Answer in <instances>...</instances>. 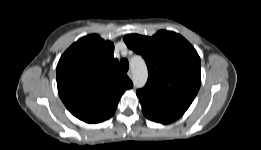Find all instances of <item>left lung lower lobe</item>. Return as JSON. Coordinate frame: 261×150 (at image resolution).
<instances>
[{
    "label": "left lung lower lobe",
    "mask_w": 261,
    "mask_h": 150,
    "mask_svg": "<svg viewBox=\"0 0 261 150\" xmlns=\"http://www.w3.org/2000/svg\"><path fill=\"white\" fill-rule=\"evenodd\" d=\"M143 114L150 120L166 124L178 119L181 115L172 111L140 101Z\"/></svg>",
    "instance_id": "left-lung-lower-lobe-1"
}]
</instances>
